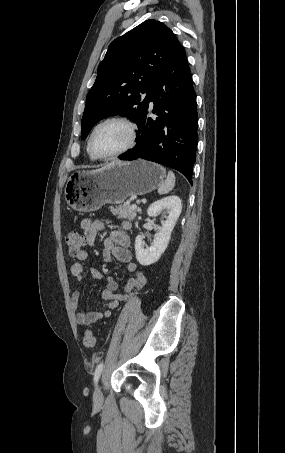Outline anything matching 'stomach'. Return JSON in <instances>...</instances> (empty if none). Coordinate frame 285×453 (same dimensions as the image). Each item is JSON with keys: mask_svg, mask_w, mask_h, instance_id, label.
<instances>
[{"mask_svg": "<svg viewBox=\"0 0 285 453\" xmlns=\"http://www.w3.org/2000/svg\"><path fill=\"white\" fill-rule=\"evenodd\" d=\"M165 177L163 166L141 159L114 162L96 171H76L66 184V201L74 210L92 212L104 204H121L128 197L150 193Z\"/></svg>", "mask_w": 285, "mask_h": 453, "instance_id": "0dacf381", "label": "stomach"}]
</instances>
